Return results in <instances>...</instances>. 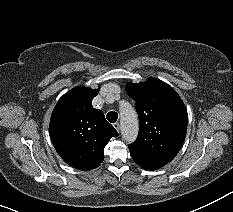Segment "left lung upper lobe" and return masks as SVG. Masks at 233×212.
Here are the masks:
<instances>
[{
  "mask_svg": "<svg viewBox=\"0 0 233 212\" xmlns=\"http://www.w3.org/2000/svg\"><path fill=\"white\" fill-rule=\"evenodd\" d=\"M140 120L136 141L129 145L133 160L145 169L163 167L179 152L185 140L188 114L178 93L167 83L150 77L128 83Z\"/></svg>",
  "mask_w": 233,
  "mask_h": 212,
  "instance_id": "left-lung-upper-lobe-1",
  "label": "left lung upper lobe"
}]
</instances>
